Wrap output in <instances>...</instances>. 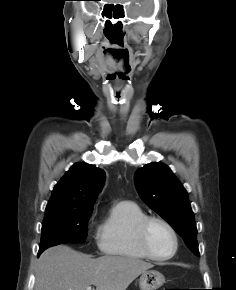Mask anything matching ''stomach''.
I'll use <instances>...</instances> for the list:
<instances>
[{
    "label": "stomach",
    "mask_w": 236,
    "mask_h": 290,
    "mask_svg": "<svg viewBox=\"0 0 236 290\" xmlns=\"http://www.w3.org/2000/svg\"><path fill=\"white\" fill-rule=\"evenodd\" d=\"M164 283L165 277L156 270H147L143 272L139 278L141 290H157Z\"/></svg>",
    "instance_id": "stomach-1"
}]
</instances>
